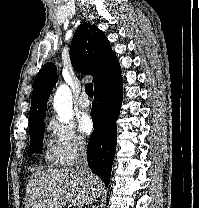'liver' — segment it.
I'll list each match as a JSON object with an SVG mask.
<instances>
[{
    "label": "liver",
    "instance_id": "liver-1",
    "mask_svg": "<svg viewBox=\"0 0 199 208\" xmlns=\"http://www.w3.org/2000/svg\"><path fill=\"white\" fill-rule=\"evenodd\" d=\"M103 183L76 169H38L26 189L25 208H63L68 203L82 208L102 193Z\"/></svg>",
    "mask_w": 199,
    "mask_h": 208
}]
</instances>
